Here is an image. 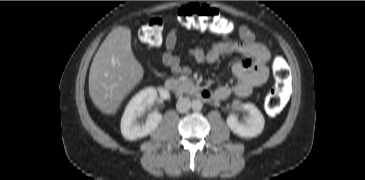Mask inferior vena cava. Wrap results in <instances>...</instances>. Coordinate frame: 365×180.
<instances>
[{"instance_id": "inferior-vena-cava-1", "label": "inferior vena cava", "mask_w": 365, "mask_h": 180, "mask_svg": "<svg viewBox=\"0 0 365 180\" xmlns=\"http://www.w3.org/2000/svg\"><path fill=\"white\" fill-rule=\"evenodd\" d=\"M191 107V101L189 98H180L177 101L176 108L180 113L187 112Z\"/></svg>"}]
</instances>
